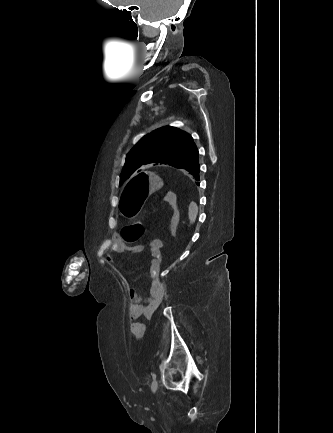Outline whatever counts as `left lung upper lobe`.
I'll return each instance as SVG.
<instances>
[{
  "label": "left lung upper lobe",
  "instance_id": "left-lung-upper-lobe-1",
  "mask_svg": "<svg viewBox=\"0 0 333 433\" xmlns=\"http://www.w3.org/2000/svg\"><path fill=\"white\" fill-rule=\"evenodd\" d=\"M199 156L191 135L166 126L143 136L129 151L120 175V185L145 165L160 163L182 169Z\"/></svg>",
  "mask_w": 333,
  "mask_h": 433
}]
</instances>
